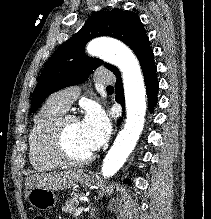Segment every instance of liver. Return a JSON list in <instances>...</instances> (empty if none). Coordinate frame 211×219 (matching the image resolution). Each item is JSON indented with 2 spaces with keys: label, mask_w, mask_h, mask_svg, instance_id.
<instances>
[{
  "label": "liver",
  "mask_w": 211,
  "mask_h": 219,
  "mask_svg": "<svg viewBox=\"0 0 211 219\" xmlns=\"http://www.w3.org/2000/svg\"><path fill=\"white\" fill-rule=\"evenodd\" d=\"M82 175L83 170L34 174L26 179V189L43 188L52 191L69 189L80 181Z\"/></svg>",
  "instance_id": "6515ba94"
}]
</instances>
